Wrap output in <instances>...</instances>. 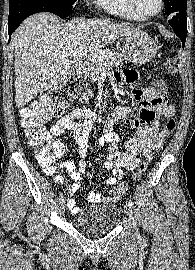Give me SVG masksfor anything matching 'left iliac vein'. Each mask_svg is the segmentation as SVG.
<instances>
[{"label":"left iliac vein","mask_w":195,"mask_h":270,"mask_svg":"<svg viewBox=\"0 0 195 270\" xmlns=\"http://www.w3.org/2000/svg\"><path fill=\"white\" fill-rule=\"evenodd\" d=\"M125 213L129 217L130 220H132V207L129 204L125 205ZM134 226V223H132Z\"/></svg>","instance_id":"4c4485c4"}]
</instances>
